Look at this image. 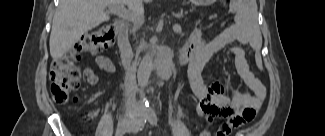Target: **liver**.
I'll return each mask as SVG.
<instances>
[{"mask_svg":"<svg viewBox=\"0 0 325 136\" xmlns=\"http://www.w3.org/2000/svg\"><path fill=\"white\" fill-rule=\"evenodd\" d=\"M143 0H60L50 34V55L58 60L77 43L81 36L109 20L106 7L128 5L141 13ZM149 2V0H144Z\"/></svg>","mask_w":325,"mask_h":136,"instance_id":"liver-1","label":"liver"}]
</instances>
